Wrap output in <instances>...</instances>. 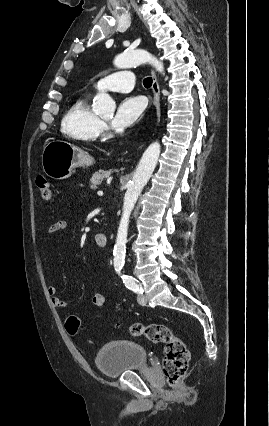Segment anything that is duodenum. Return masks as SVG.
<instances>
[{"label":"duodenum","mask_w":269,"mask_h":426,"mask_svg":"<svg viewBox=\"0 0 269 426\" xmlns=\"http://www.w3.org/2000/svg\"><path fill=\"white\" fill-rule=\"evenodd\" d=\"M95 241H96V244L99 246V247H106L107 246V244H108V237H107V235L106 234H104V233H97L96 235H95Z\"/></svg>","instance_id":"obj_1"}]
</instances>
